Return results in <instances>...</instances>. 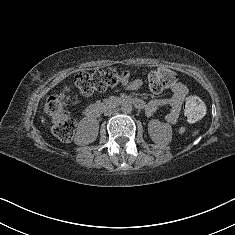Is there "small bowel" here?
<instances>
[{
  "label": "small bowel",
  "instance_id": "c3829d8e",
  "mask_svg": "<svg viewBox=\"0 0 235 235\" xmlns=\"http://www.w3.org/2000/svg\"><path fill=\"white\" fill-rule=\"evenodd\" d=\"M172 95L169 98L165 99H153L147 103L142 101L145 113L147 116L153 115L162 107H167L169 109L168 113L165 116L166 122L174 124L177 122L181 105L185 98L188 95V88L181 82H175L171 86Z\"/></svg>",
  "mask_w": 235,
  "mask_h": 235
}]
</instances>
